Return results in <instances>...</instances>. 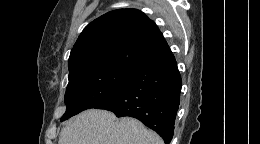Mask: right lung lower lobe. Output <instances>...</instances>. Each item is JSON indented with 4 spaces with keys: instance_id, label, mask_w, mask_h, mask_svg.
Returning a JSON list of instances; mask_svg holds the SVG:
<instances>
[{
    "instance_id": "1",
    "label": "right lung lower lobe",
    "mask_w": 260,
    "mask_h": 144,
    "mask_svg": "<svg viewBox=\"0 0 260 144\" xmlns=\"http://www.w3.org/2000/svg\"><path fill=\"white\" fill-rule=\"evenodd\" d=\"M181 84L171 53L136 69L119 90L94 108L112 111L117 117L137 118L169 144L174 133Z\"/></svg>"
}]
</instances>
